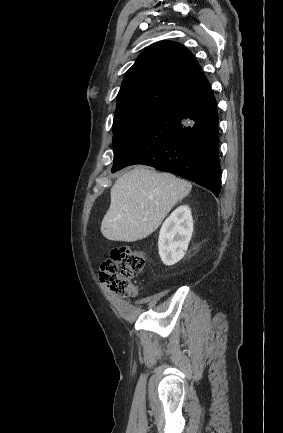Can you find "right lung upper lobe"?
<instances>
[{"instance_id": "cb5924a9", "label": "right lung upper lobe", "mask_w": 283, "mask_h": 433, "mask_svg": "<svg viewBox=\"0 0 283 433\" xmlns=\"http://www.w3.org/2000/svg\"><path fill=\"white\" fill-rule=\"evenodd\" d=\"M209 86L187 48L161 41L144 50L127 71L117 96V109L144 107L164 111Z\"/></svg>"}]
</instances>
